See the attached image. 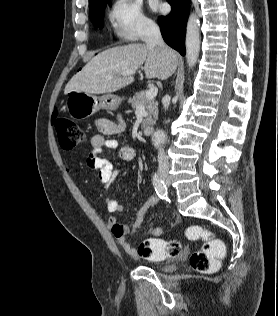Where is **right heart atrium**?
<instances>
[{
  "label": "right heart atrium",
  "instance_id": "right-heart-atrium-1",
  "mask_svg": "<svg viewBox=\"0 0 278 316\" xmlns=\"http://www.w3.org/2000/svg\"><path fill=\"white\" fill-rule=\"evenodd\" d=\"M107 15L115 37L122 41H136L155 27L137 0H113Z\"/></svg>",
  "mask_w": 278,
  "mask_h": 316
}]
</instances>
